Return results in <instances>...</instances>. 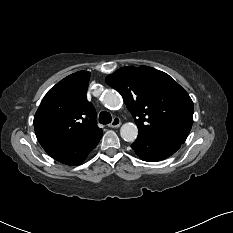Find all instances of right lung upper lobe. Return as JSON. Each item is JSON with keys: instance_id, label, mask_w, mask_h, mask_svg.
<instances>
[{"instance_id": "obj_1", "label": "right lung upper lobe", "mask_w": 233, "mask_h": 233, "mask_svg": "<svg viewBox=\"0 0 233 233\" xmlns=\"http://www.w3.org/2000/svg\"><path fill=\"white\" fill-rule=\"evenodd\" d=\"M90 72L73 73L43 98L35 116L34 129L40 144L79 143L102 132L96 112L87 100Z\"/></svg>"}]
</instances>
